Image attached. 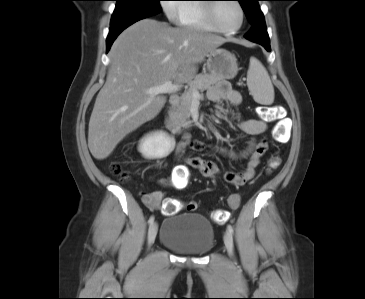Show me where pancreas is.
<instances>
[{"label":"pancreas","mask_w":365,"mask_h":299,"mask_svg":"<svg viewBox=\"0 0 365 299\" xmlns=\"http://www.w3.org/2000/svg\"><path fill=\"white\" fill-rule=\"evenodd\" d=\"M220 78L211 74H198L189 84V89L182 95L180 102L170 113L171 120L178 126L189 127L191 125L190 109L194 99L193 92H203L217 84Z\"/></svg>","instance_id":"1"}]
</instances>
